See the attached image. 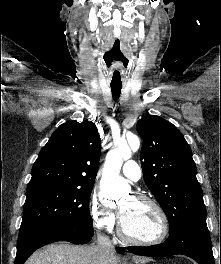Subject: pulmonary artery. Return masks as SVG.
Returning <instances> with one entry per match:
<instances>
[{
  "mask_svg": "<svg viewBox=\"0 0 221 264\" xmlns=\"http://www.w3.org/2000/svg\"><path fill=\"white\" fill-rule=\"evenodd\" d=\"M122 174L131 181H138L142 176V171L138 163L133 160L125 162L122 168Z\"/></svg>",
  "mask_w": 221,
  "mask_h": 264,
  "instance_id": "e3ab8cb5",
  "label": "pulmonary artery"
}]
</instances>
